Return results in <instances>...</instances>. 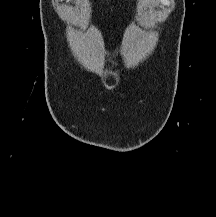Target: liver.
<instances>
[{
  "instance_id": "liver-1",
  "label": "liver",
  "mask_w": 216,
  "mask_h": 217,
  "mask_svg": "<svg viewBox=\"0 0 216 217\" xmlns=\"http://www.w3.org/2000/svg\"><path fill=\"white\" fill-rule=\"evenodd\" d=\"M81 1H78L80 3ZM151 2V0H142L143 5H147Z\"/></svg>"
}]
</instances>
